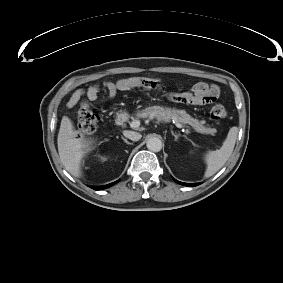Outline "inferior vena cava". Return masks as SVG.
I'll return each instance as SVG.
<instances>
[{"label": "inferior vena cava", "instance_id": "1", "mask_svg": "<svg viewBox=\"0 0 283 283\" xmlns=\"http://www.w3.org/2000/svg\"><path fill=\"white\" fill-rule=\"evenodd\" d=\"M124 135L132 141H138L141 139L142 135L134 131H125Z\"/></svg>", "mask_w": 283, "mask_h": 283}]
</instances>
